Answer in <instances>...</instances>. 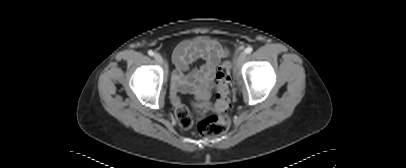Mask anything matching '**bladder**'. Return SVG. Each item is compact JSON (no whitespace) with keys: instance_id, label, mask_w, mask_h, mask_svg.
<instances>
[{"instance_id":"obj_1","label":"bladder","mask_w":406,"mask_h":168,"mask_svg":"<svg viewBox=\"0 0 406 168\" xmlns=\"http://www.w3.org/2000/svg\"><path fill=\"white\" fill-rule=\"evenodd\" d=\"M200 39H202V38L194 39V40H192V42H196V41H198V40H200Z\"/></svg>"}]
</instances>
